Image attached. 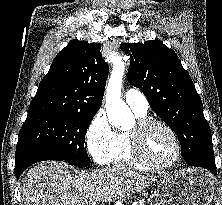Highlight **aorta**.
Here are the masks:
<instances>
[{
  "mask_svg": "<svg viewBox=\"0 0 222 205\" xmlns=\"http://www.w3.org/2000/svg\"><path fill=\"white\" fill-rule=\"evenodd\" d=\"M124 70L125 65L122 58H115L113 71L106 86L105 108L110 123L115 127L126 129L133 125L134 117L121 99Z\"/></svg>",
  "mask_w": 222,
  "mask_h": 205,
  "instance_id": "aorta-1",
  "label": "aorta"
}]
</instances>
